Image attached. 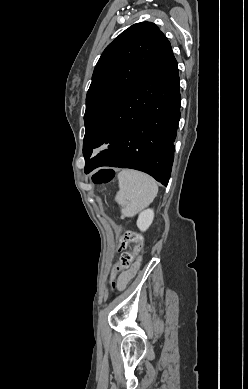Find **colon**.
I'll use <instances>...</instances> for the list:
<instances>
[{
    "label": "colon",
    "instance_id": "1",
    "mask_svg": "<svg viewBox=\"0 0 248 389\" xmlns=\"http://www.w3.org/2000/svg\"><path fill=\"white\" fill-rule=\"evenodd\" d=\"M114 172L109 169H100L93 175V181L100 185H106L113 181ZM143 239L142 236L134 231H127L120 243V248L127 244H134L132 251H125L121 254L119 262L113 266L112 269V287H115L114 277L125 270H127L132 264L133 260L140 252L142 247Z\"/></svg>",
    "mask_w": 248,
    "mask_h": 389
}]
</instances>
